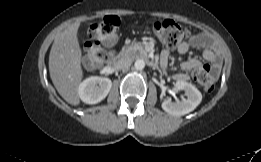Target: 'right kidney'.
Here are the masks:
<instances>
[{
  "mask_svg": "<svg viewBox=\"0 0 261 162\" xmlns=\"http://www.w3.org/2000/svg\"><path fill=\"white\" fill-rule=\"evenodd\" d=\"M111 87L109 78L92 76L79 85L78 94L84 103L97 104L106 98Z\"/></svg>",
  "mask_w": 261,
  "mask_h": 162,
  "instance_id": "ca27d5eb",
  "label": "right kidney"
}]
</instances>
